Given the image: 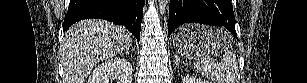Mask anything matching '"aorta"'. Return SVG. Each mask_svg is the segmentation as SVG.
Listing matches in <instances>:
<instances>
[{
    "label": "aorta",
    "mask_w": 307,
    "mask_h": 83,
    "mask_svg": "<svg viewBox=\"0 0 307 83\" xmlns=\"http://www.w3.org/2000/svg\"><path fill=\"white\" fill-rule=\"evenodd\" d=\"M158 2L160 14L163 15L168 6L169 0H159Z\"/></svg>",
    "instance_id": "aorta-1"
}]
</instances>
